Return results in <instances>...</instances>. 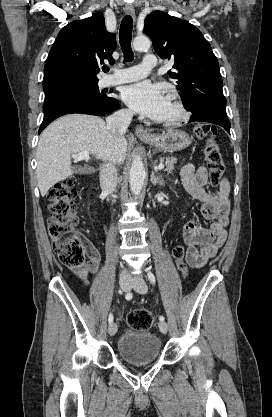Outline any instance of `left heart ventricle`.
Returning <instances> with one entry per match:
<instances>
[{
    "instance_id": "1",
    "label": "left heart ventricle",
    "mask_w": 272,
    "mask_h": 417,
    "mask_svg": "<svg viewBox=\"0 0 272 417\" xmlns=\"http://www.w3.org/2000/svg\"><path fill=\"white\" fill-rule=\"evenodd\" d=\"M176 114H177L176 108L174 107L173 103L168 99L165 109L159 119L173 118L176 116Z\"/></svg>"
}]
</instances>
